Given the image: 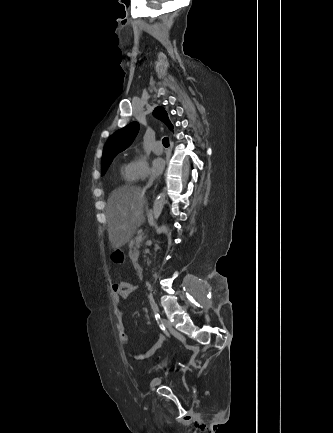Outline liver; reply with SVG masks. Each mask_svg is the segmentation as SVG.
<instances>
[{
  "label": "liver",
  "mask_w": 333,
  "mask_h": 433,
  "mask_svg": "<svg viewBox=\"0 0 333 433\" xmlns=\"http://www.w3.org/2000/svg\"><path fill=\"white\" fill-rule=\"evenodd\" d=\"M145 188L124 185L109 196L105 215L109 241L113 249L127 244L144 223Z\"/></svg>",
  "instance_id": "liver-1"
}]
</instances>
